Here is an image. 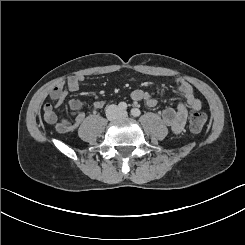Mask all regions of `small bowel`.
I'll use <instances>...</instances> for the list:
<instances>
[{"label":"small bowel","instance_id":"1","mask_svg":"<svg viewBox=\"0 0 245 245\" xmlns=\"http://www.w3.org/2000/svg\"><path fill=\"white\" fill-rule=\"evenodd\" d=\"M83 81V77L74 76L69 78L65 83H60L50 91V98L56 103L62 102L68 92H74L78 90L80 83ZM175 89L181 94L185 101L179 102L176 108L167 107L162 112V119L166 126H168L174 133H180L187 120L188 111H197L201 107V101L197 97L193 87L182 79L175 80ZM131 99L135 102H144L146 106L153 108L157 106L158 100L149 92L136 89L131 92ZM105 101L98 100L93 103L92 111L101 109L104 107ZM53 103H46L43 106L45 121L53 126L59 133H67L77 129L80 124L85 120V113L82 110V103L78 99H71L68 102V107L73 116V120L59 119Z\"/></svg>","mask_w":245,"mask_h":245}]
</instances>
